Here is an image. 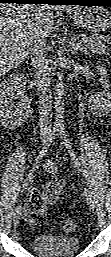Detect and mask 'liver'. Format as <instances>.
Segmentation results:
<instances>
[{
  "mask_svg": "<svg viewBox=\"0 0 111 257\" xmlns=\"http://www.w3.org/2000/svg\"><path fill=\"white\" fill-rule=\"evenodd\" d=\"M53 7L48 5L0 6V72L16 68L27 57L39 32L53 30Z\"/></svg>",
  "mask_w": 111,
  "mask_h": 257,
  "instance_id": "6515ba94",
  "label": "liver"
}]
</instances>
